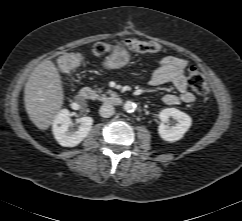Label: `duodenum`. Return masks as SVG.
<instances>
[{"label": "duodenum", "instance_id": "obj_1", "mask_svg": "<svg viewBox=\"0 0 242 221\" xmlns=\"http://www.w3.org/2000/svg\"><path fill=\"white\" fill-rule=\"evenodd\" d=\"M79 95L82 99L88 101H99L101 98L100 94L92 87L81 88L79 90ZM106 102L110 105L117 106L121 104L122 99L119 96H111L106 99Z\"/></svg>", "mask_w": 242, "mask_h": 221}]
</instances>
